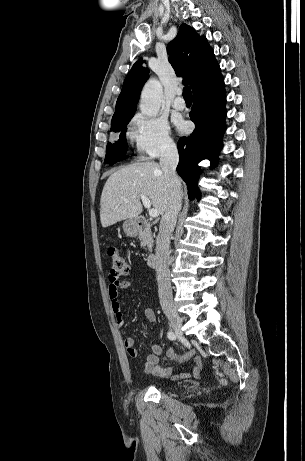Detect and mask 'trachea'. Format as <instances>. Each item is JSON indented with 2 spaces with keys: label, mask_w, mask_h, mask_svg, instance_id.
Listing matches in <instances>:
<instances>
[{
  "label": "trachea",
  "mask_w": 305,
  "mask_h": 461,
  "mask_svg": "<svg viewBox=\"0 0 305 461\" xmlns=\"http://www.w3.org/2000/svg\"><path fill=\"white\" fill-rule=\"evenodd\" d=\"M183 97L184 99H192V92L189 86L183 88Z\"/></svg>",
  "instance_id": "obj_1"
}]
</instances>
